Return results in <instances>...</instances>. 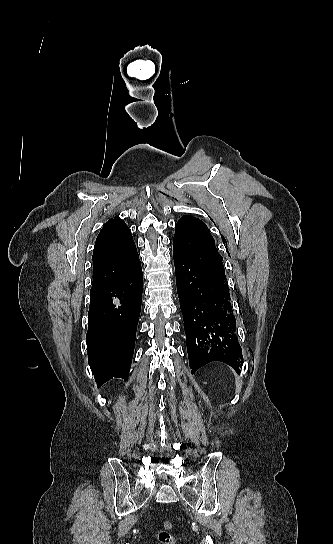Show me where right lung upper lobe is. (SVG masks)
<instances>
[{
	"label": "right lung upper lobe",
	"instance_id": "right-lung-upper-lobe-1",
	"mask_svg": "<svg viewBox=\"0 0 333 544\" xmlns=\"http://www.w3.org/2000/svg\"><path fill=\"white\" fill-rule=\"evenodd\" d=\"M92 260L90 293L112 285L139 263L133 237L122 219L115 217L105 223L96 239Z\"/></svg>",
	"mask_w": 333,
	"mask_h": 544
}]
</instances>
